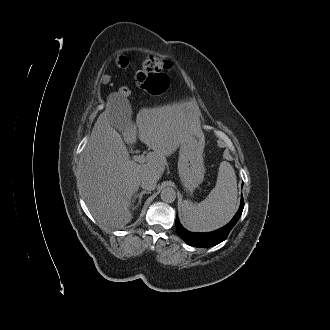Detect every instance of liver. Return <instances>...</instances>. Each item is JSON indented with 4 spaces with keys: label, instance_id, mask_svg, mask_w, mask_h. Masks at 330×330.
Masks as SVG:
<instances>
[{
    "label": "liver",
    "instance_id": "obj_1",
    "mask_svg": "<svg viewBox=\"0 0 330 330\" xmlns=\"http://www.w3.org/2000/svg\"><path fill=\"white\" fill-rule=\"evenodd\" d=\"M121 112L119 107L109 105L99 115L83 151L79 172L80 190L93 217L100 224L118 229L132 220L131 198L144 175L160 179L166 157L181 143L198 138L204 144L188 103L142 108L135 124L130 107L124 109L128 117ZM137 136L153 150L143 164L129 159L125 144L136 143Z\"/></svg>",
    "mask_w": 330,
    "mask_h": 330
}]
</instances>
